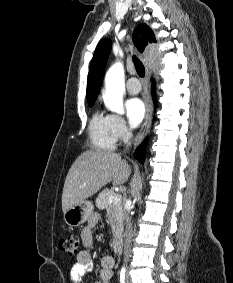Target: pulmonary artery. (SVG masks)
<instances>
[{"mask_svg": "<svg viewBox=\"0 0 233 283\" xmlns=\"http://www.w3.org/2000/svg\"><path fill=\"white\" fill-rule=\"evenodd\" d=\"M126 90L130 94H138L141 90V84L135 77L130 78L126 83Z\"/></svg>", "mask_w": 233, "mask_h": 283, "instance_id": "obj_1", "label": "pulmonary artery"}]
</instances>
